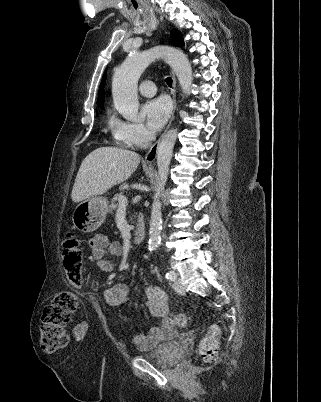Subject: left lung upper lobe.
I'll return each mask as SVG.
<instances>
[{"label": "left lung upper lobe", "mask_w": 321, "mask_h": 402, "mask_svg": "<svg viewBox=\"0 0 321 402\" xmlns=\"http://www.w3.org/2000/svg\"><path fill=\"white\" fill-rule=\"evenodd\" d=\"M171 37L173 39V41L179 45L183 44V40H182V35L179 31L177 30H172L171 32Z\"/></svg>", "instance_id": "1"}]
</instances>
